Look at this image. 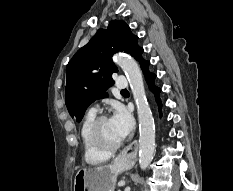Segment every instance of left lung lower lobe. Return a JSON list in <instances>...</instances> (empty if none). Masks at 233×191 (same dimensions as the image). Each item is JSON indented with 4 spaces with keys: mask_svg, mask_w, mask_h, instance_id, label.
I'll return each mask as SVG.
<instances>
[{
    "mask_svg": "<svg viewBox=\"0 0 233 191\" xmlns=\"http://www.w3.org/2000/svg\"><path fill=\"white\" fill-rule=\"evenodd\" d=\"M149 65H150V61L143 59L140 62L141 69L145 75V78H146V81L149 85V88L154 93L155 100L159 106V114H160V116H162V113H161L162 103H161V100L159 98V93L161 92V89L155 85L154 81H155L156 75L154 73L149 72V70H148Z\"/></svg>",
    "mask_w": 233,
    "mask_h": 191,
    "instance_id": "1",
    "label": "left lung lower lobe"
}]
</instances>
